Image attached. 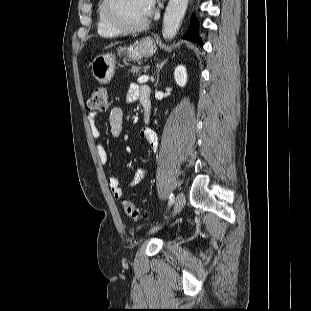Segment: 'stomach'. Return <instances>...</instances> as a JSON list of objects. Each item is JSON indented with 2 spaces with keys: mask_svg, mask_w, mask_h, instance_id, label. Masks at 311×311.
I'll list each match as a JSON object with an SVG mask.
<instances>
[{
  "mask_svg": "<svg viewBox=\"0 0 311 311\" xmlns=\"http://www.w3.org/2000/svg\"><path fill=\"white\" fill-rule=\"evenodd\" d=\"M157 46L151 37H146L135 42L127 48L118 50L124 52L133 61H139L143 57H149L156 53ZM116 57L112 53H105L96 56L91 63V71L95 79L102 84L108 83L115 72Z\"/></svg>",
  "mask_w": 311,
  "mask_h": 311,
  "instance_id": "obj_1",
  "label": "stomach"
}]
</instances>
